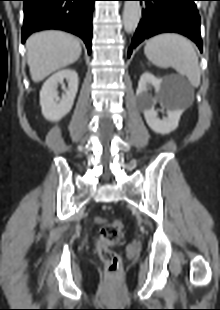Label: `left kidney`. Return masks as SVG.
<instances>
[{
	"mask_svg": "<svg viewBox=\"0 0 220 310\" xmlns=\"http://www.w3.org/2000/svg\"><path fill=\"white\" fill-rule=\"evenodd\" d=\"M152 85L155 88L157 97H152L147 87ZM168 82L166 79L156 78L149 72H145L140 77L136 95L140 107L143 109L145 120L148 126L156 133L169 134L178 127L182 110L167 109V118L159 119L154 109V104L158 98L162 99L167 93Z\"/></svg>",
	"mask_w": 220,
	"mask_h": 310,
	"instance_id": "obj_1",
	"label": "left kidney"
}]
</instances>
